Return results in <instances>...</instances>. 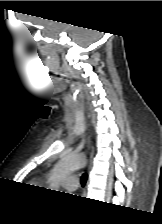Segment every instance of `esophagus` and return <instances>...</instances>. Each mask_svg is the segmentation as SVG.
Masks as SVG:
<instances>
[{
  "label": "esophagus",
  "mask_w": 162,
  "mask_h": 224,
  "mask_svg": "<svg viewBox=\"0 0 162 224\" xmlns=\"http://www.w3.org/2000/svg\"><path fill=\"white\" fill-rule=\"evenodd\" d=\"M92 157H93V153H91V155H90L89 166H88L89 171L91 170V166H92V162H91ZM88 182H89V180L87 181V184H88Z\"/></svg>",
  "instance_id": "34e87169"
}]
</instances>
